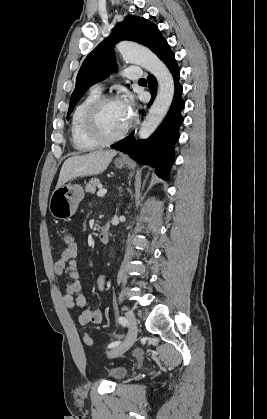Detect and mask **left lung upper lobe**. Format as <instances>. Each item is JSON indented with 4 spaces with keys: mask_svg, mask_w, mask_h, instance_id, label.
I'll use <instances>...</instances> for the list:
<instances>
[{
    "mask_svg": "<svg viewBox=\"0 0 267 419\" xmlns=\"http://www.w3.org/2000/svg\"><path fill=\"white\" fill-rule=\"evenodd\" d=\"M122 40L140 43L151 49L157 56L167 44L155 24L142 17L127 16L84 60L76 78L67 116L71 114L77 102L93 84L104 80L110 72L117 69L113 46Z\"/></svg>",
    "mask_w": 267,
    "mask_h": 419,
    "instance_id": "obj_1",
    "label": "left lung upper lobe"
}]
</instances>
